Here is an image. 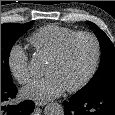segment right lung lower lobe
Wrapping results in <instances>:
<instances>
[{
    "mask_svg": "<svg viewBox=\"0 0 115 115\" xmlns=\"http://www.w3.org/2000/svg\"><path fill=\"white\" fill-rule=\"evenodd\" d=\"M18 90L13 84L1 86V115H29L34 110V103L26 100L18 105H6L7 101L16 97Z\"/></svg>",
    "mask_w": 115,
    "mask_h": 115,
    "instance_id": "1",
    "label": "right lung lower lobe"
}]
</instances>
